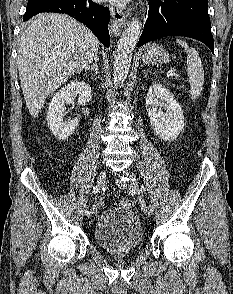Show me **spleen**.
Returning a JSON list of instances; mask_svg holds the SVG:
<instances>
[{"instance_id":"1","label":"spleen","mask_w":233,"mask_h":294,"mask_svg":"<svg viewBox=\"0 0 233 294\" xmlns=\"http://www.w3.org/2000/svg\"><path fill=\"white\" fill-rule=\"evenodd\" d=\"M176 42L184 48V51L187 54V73L190 83V95L193 100L197 99L202 92L203 83H204V69L202 66L201 59L198 52L189 48L188 44L180 39H177Z\"/></svg>"}]
</instances>
